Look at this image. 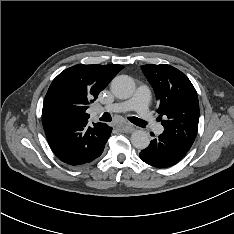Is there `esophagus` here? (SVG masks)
<instances>
[{"mask_svg": "<svg viewBox=\"0 0 234 234\" xmlns=\"http://www.w3.org/2000/svg\"><path fill=\"white\" fill-rule=\"evenodd\" d=\"M123 133H131L134 131V127L130 124H126L123 128L119 129Z\"/></svg>", "mask_w": 234, "mask_h": 234, "instance_id": "esophagus-1", "label": "esophagus"}]
</instances>
